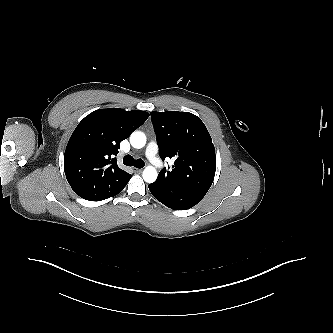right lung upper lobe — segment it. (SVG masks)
I'll list each match as a JSON object with an SVG mask.
<instances>
[{"label":"right lung upper lobe","instance_id":"right-lung-upper-lobe-1","mask_svg":"<svg viewBox=\"0 0 333 333\" xmlns=\"http://www.w3.org/2000/svg\"><path fill=\"white\" fill-rule=\"evenodd\" d=\"M149 117L145 111L120 108L96 110L87 115L70 137L64 154V171L80 197L101 201L117 195L131 175L116 162L120 142Z\"/></svg>","mask_w":333,"mask_h":333}]
</instances>
